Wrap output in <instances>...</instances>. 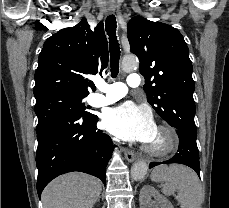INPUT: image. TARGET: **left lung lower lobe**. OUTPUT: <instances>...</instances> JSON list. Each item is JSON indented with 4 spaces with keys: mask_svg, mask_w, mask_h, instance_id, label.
<instances>
[{
    "mask_svg": "<svg viewBox=\"0 0 229 208\" xmlns=\"http://www.w3.org/2000/svg\"><path fill=\"white\" fill-rule=\"evenodd\" d=\"M177 134L179 137L178 153L168 161L150 163L149 168L159 164L180 163L194 169L200 177L199 152L196 144L197 132L194 129L184 128L183 131L177 130Z\"/></svg>",
    "mask_w": 229,
    "mask_h": 208,
    "instance_id": "left-lung-lower-lobe-1",
    "label": "left lung lower lobe"
}]
</instances>
